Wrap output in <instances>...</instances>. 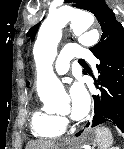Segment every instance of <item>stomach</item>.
Instances as JSON below:
<instances>
[{"label":"stomach","mask_w":124,"mask_h":149,"mask_svg":"<svg viewBox=\"0 0 124 149\" xmlns=\"http://www.w3.org/2000/svg\"><path fill=\"white\" fill-rule=\"evenodd\" d=\"M81 139L83 145H91L97 142V136L95 131H86L82 134Z\"/></svg>","instance_id":"stomach-1"}]
</instances>
